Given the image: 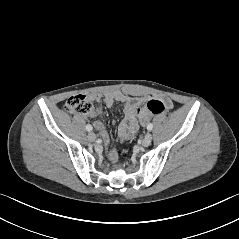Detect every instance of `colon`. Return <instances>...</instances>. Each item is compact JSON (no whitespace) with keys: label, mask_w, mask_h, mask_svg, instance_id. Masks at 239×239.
I'll use <instances>...</instances> for the list:
<instances>
[{"label":"colon","mask_w":239,"mask_h":239,"mask_svg":"<svg viewBox=\"0 0 239 239\" xmlns=\"http://www.w3.org/2000/svg\"><path fill=\"white\" fill-rule=\"evenodd\" d=\"M65 108L70 113L89 114L93 110L91 100L82 94L69 97L66 101ZM165 105L160 100L152 99L146 102L138 111V116L142 124H146L151 117L163 113Z\"/></svg>","instance_id":"1"}]
</instances>
